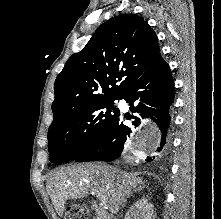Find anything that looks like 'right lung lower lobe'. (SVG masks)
Instances as JSON below:
<instances>
[{
    "label": "right lung lower lobe",
    "instance_id": "98d812e1",
    "mask_svg": "<svg viewBox=\"0 0 221 219\" xmlns=\"http://www.w3.org/2000/svg\"><path fill=\"white\" fill-rule=\"evenodd\" d=\"M120 99L129 102L132 124L146 129L150 141L145 161L163 160L170 151L171 105L174 102V80L168 64L160 56L132 83ZM126 119H129L126 117ZM119 115L101 140L76 162L113 161L121 156L132 130Z\"/></svg>",
    "mask_w": 221,
    "mask_h": 219
}]
</instances>
